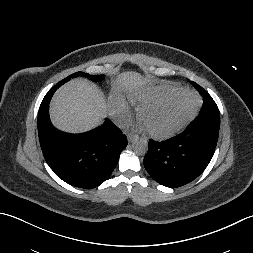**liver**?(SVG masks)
<instances>
[{"label": "liver", "instance_id": "6515ba94", "mask_svg": "<svg viewBox=\"0 0 253 253\" xmlns=\"http://www.w3.org/2000/svg\"><path fill=\"white\" fill-rule=\"evenodd\" d=\"M146 83L138 72H124L113 82L115 92L132 90ZM108 113L102 92L91 82L76 78L62 86L54 95L50 116L60 130L79 133L100 125Z\"/></svg>", "mask_w": 253, "mask_h": 253}]
</instances>
